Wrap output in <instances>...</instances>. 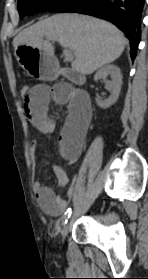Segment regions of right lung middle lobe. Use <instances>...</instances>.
<instances>
[{
    "label": "right lung middle lobe",
    "mask_w": 148,
    "mask_h": 279,
    "mask_svg": "<svg viewBox=\"0 0 148 279\" xmlns=\"http://www.w3.org/2000/svg\"><path fill=\"white\" fill-rule=\"evenodd\" d=\"M79 0H18V12L21 18L44 10H58Z\"/></svg>",
    "instance_id": "obj_1"
}]
</instances>
